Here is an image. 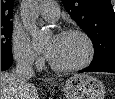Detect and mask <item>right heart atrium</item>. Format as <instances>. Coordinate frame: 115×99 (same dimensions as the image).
<instances>
[{
  "label": "right heart atrium",
  "instance_id": "right-heart-atrium-1",
  "mask_svg": "<svg viewBox=\"0 0 115 99\" xmlns=\"http://www.w3.org/2000/svg\"><path fill=\"white\" fill-rule=\"evenodd\" d=\"M12 50L16 61L24 66H35L41 63L40 57L30 45L27 38L21 33H14Z\"/></svg>",
  "mask_w": 115,
  "mask_h": 99
}]
</instances>
